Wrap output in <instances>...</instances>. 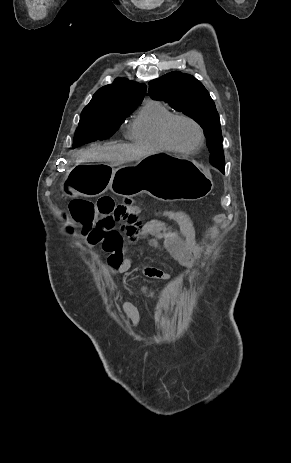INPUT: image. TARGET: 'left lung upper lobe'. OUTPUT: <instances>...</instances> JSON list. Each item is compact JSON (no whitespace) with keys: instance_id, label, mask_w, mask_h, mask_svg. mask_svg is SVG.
<instances>
[{"instance_id":"left-lung-upper-lobe-1","label":"left lung upper lobe","mask_w":291,"mask_h":463,"mask_svg":"<svg viewBox=\"0 0 291 463\" xmlns=\"http://www.w3.org/2000/svg\"><path fill=\"white\" fill-rule=\"evenodd\" d=\"M149 96L193 118L204 130L211 152L210 162L224 169L220 118L205 87L193 76L173 71L149 82Z\"/></svg>"}]
</instances>
